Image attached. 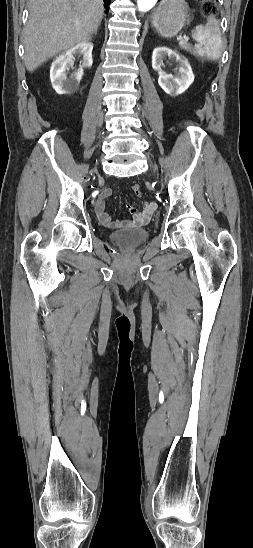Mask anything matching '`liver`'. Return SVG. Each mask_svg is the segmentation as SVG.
<instances>
[{"instance_id": "6515ba94", "label": "liver", "mask_w": 253, "mask_h": 548, "mask_svg": "<svg viewBox=\"0 0 253 548\" xmlns=\"http://www.w3.org/2000/svg\"><path fill=\"white\" fill-rule=\"evenodd\" d=\"M28 9L24 61L29 72L56 54L90 40L104 13L102 0H30Z\"/></svg>"}]
</instances>
